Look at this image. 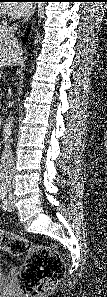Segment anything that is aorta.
Returning <instances> with one entry per match:
<instances>
[{
	"label": "aorta",
	"mask_w": 107,
	"mask_h": 297,
	"mask_svg": "<svg viewBox=\"0 0 107 297\" xmlns=\"http://www.w3.org/2000/svg\"><path fill=\"white\" fill-rule=\"evenodd\" d=\"M13 123H14V111L11 110L9 112V115H8L4 125H3V135L2 136H3V141L6 144L8 142H10L12 128L14 125ZM5 147H6L5 149L8 150L7 147L9 148V146H5Z\"/></svg>",
	"instance_id": "1"
}]
</instances>
